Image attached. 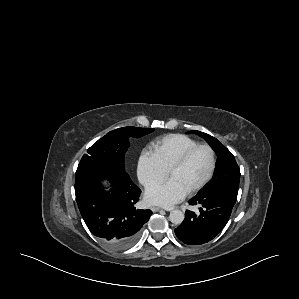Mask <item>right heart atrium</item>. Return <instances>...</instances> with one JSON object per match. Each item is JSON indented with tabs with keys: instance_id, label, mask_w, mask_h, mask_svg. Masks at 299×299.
Instances as JSON below:
<instances>
[{
	"instance_id": "obj_1",
	"label": "right heart atrium",
	"mask_w": 299,
	"mask_h": 299,
	"mask_svg": "<svg viewBox=\"0 0 299 299\" xmlns=\"http://www.w3.org/2000/svg\"><path fill=\"white\" fill-rule=\"evenodd\" d=\"M167 171L162 167L156 155L149 150H143L137 160V177L139 182L147 187L162 181Z\"/></svg>"
}]
</instances>
